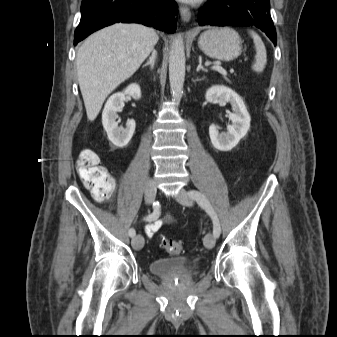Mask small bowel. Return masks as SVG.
I'll use <instances>...</instances> for the list:
<instances>
[{
  "mask_svg": "<svg viewBox=\"0 0 337 337\" xmlns=\"http://www.w3.org/2000/svg\"><path fill=\"white\" fill-rule=\"evenodd\" d=\"M172 221V216L167 214L163 218L158 219L145 227V233L148 237H152L162 224L169 223Z\"/></svg>",
  "mask_w": 337,
  "mask_h": 337,
  "instance_id": "small-bowel-1",
  "label": "small bowel"
}]
</instances>
